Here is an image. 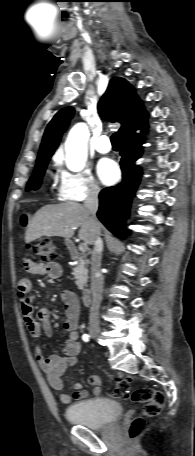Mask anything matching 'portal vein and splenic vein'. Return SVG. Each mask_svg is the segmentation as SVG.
Returning <instances> with one entry per match:
<instances>
[{"instance_id": "18ae733b", "label": "portal vein and splenic vein", "mask_w": 195, "mask_h": 456, "mask_svg": "<svg viewBox=\"0 0 195 456\" xmlns=\"http://www.w3.org/2000/svg\"><path fill=\"white\" fill-rule=\"evenodd\" d=\"M87 249H88V246L85 243H82L79 245V250L81 252H85V251H87Z\"/></svg>"}]
</instances>
